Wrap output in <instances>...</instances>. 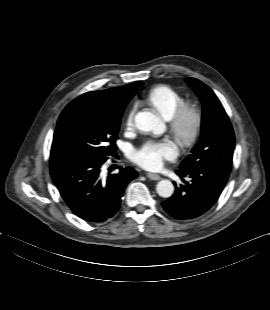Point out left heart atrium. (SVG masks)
<instances>
[{
  "mask_svg": "<svg viewBox=\"0 0 270 310\" xmlns=\"http://www.w3.org/2000/svg\"><path fill=\"white\" fill-rule=\"evenodd\" d=\"M176 153V147L170 141L147 142L133 152L132 160L145 169L154 170L164 161L175 158Z\"/></svg>",
  "mask_w": 270,
  "mask_h": 310,
  "instance_id": "obj_1",
  "label": "left heart atrium"
}]
</instances>
